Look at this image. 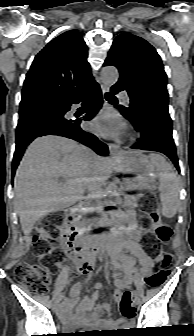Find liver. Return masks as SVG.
I'll return each mask as SVG.
<instances>
[{"label": "liver", "mask_w": 194, "mask_h": 336, "mask_svg": "<svg viewBox=\"0 0 194 336\" xmlns=\"http://www.w3.org/2000/svg\"><path fill=\"white\" fill-rule=\"evenodd\" d=\"M117 166L121 168L110 158L93 160L87 147L68 138L43 136L34 140L14 180L15 205L24 235L31 233L40 218L82 200L89 190L99 193ZM96 176L103 180L98 188H92ZM61 177L63 182H59Z\"/></svg>", "instance_id": "liver-1"}]
</instances>
